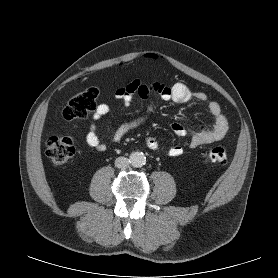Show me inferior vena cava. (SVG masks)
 I'll return each instance as SVG.
<instances>
[{
    "label": "inferior vena cava",
    "instance_id": "inferior-vena-cava-1",
    "mask_svg": "<svg viewBox=\"0 0 278 278\" xmlns=\"http://www.w3.org/2000/svg\"><path fill=\"white\" fill-rule=\"evenodd\" d=\"M129 164H130V160L126 157L120 156L115 160V166L117 168L125 169L129 166Z\"/></svg>",
    "mask_w": 278,
    "mask_h": 278
}]
</instances>
